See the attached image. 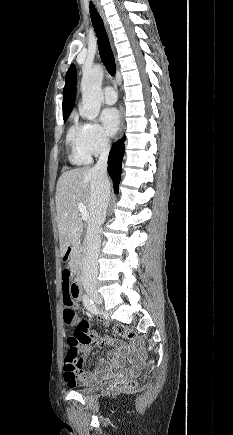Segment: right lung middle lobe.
<instances>
[{
	"label": "right lung middle lobe",
	"mask_w": 233,
	"mask_h": 435,
	"mask_svg": "<svg viewBox=\"0 0 233 435\" xmlns=\"http://www.w3.org/2000/svg\"><path fill=\"white\" fill-rule=\"evenodd\" d=\"M67 118H68V115L67 116H63L64 122L66 121Z\"/></svg>",
	"instance_id": "1"
}]
</instances>
